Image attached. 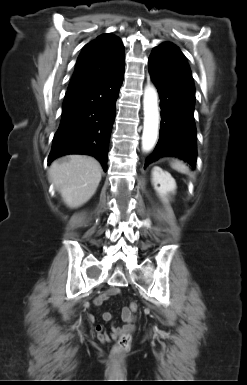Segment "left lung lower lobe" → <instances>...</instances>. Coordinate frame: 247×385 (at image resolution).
I'll return each instance as SVG.
<instances>
[{"label": "left lung lower lobe", "mask_w": 247, "mask_h": 385, "mask_svg": "<svg viewBox=\"0 0 247 385\" xmlns=\"http://www.w3.org/2000/svg\"><path fill=\"white\" fill-rule=\"evenodd\" d=\"M148 69L162 112L159 141L144 167L164 156H177L195 167V86L189 65L179 48L166 42L153 49Z\"/></svg>", "instance_id": "obj_1"}]
</instances>
